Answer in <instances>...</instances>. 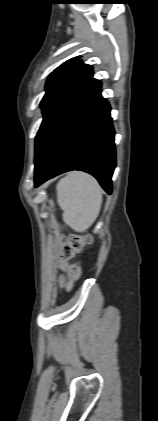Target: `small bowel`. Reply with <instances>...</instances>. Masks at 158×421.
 Listing matches in <instances>:
<instances>
[{"label": "small bowel", "mask_w": 158, "mask_h": 421, "mask_svg": "<svg viewBox=\"0 0 158 421\" xmlns=\"http://www.w3.org/2000/svg\"><path fill=\"white\" fill-rule=\"evenodd\" d=\"M61 269H62V271H64V272H65V271L68 269L67 264L62 263V264H61Z\"/></svg>", "instance_id": "obj_1"}]
</instances>
